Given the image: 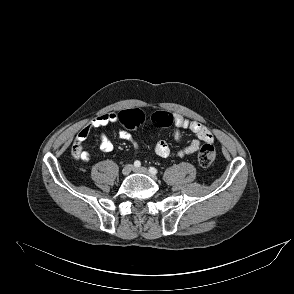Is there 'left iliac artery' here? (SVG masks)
<instances>
[{
  "label": "left iliac artery",
  "mask_w": 294,
  "mask_h": 294,
  "mask_svg": "<svg viewBox=\"0 0 294 294\" xmlns=\"http://www.w3.org/2000/svg\"><path fill=\"white\" fill-rule=\"evenodd\" d=\"M149 171L152 173V174H157L158 173V170L154 167H150L149 168Z\"/></svg>",
  "instance_id": "left-iliac-artery-1"
}]
</instances>
